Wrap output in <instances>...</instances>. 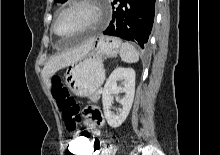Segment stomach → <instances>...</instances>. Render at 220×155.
<instances>
[{"label": "stomach", "mask_w": 220, "mask_h": 155, "mask_svg": "<svg viewBox=\"0 0 220 155\" xmlns=\"http://www.w3.org/2000/svg\"><path fill=\"white\" fill-rule=\"evenodd\" d=\"M120 46L121 41L112 37H101L93 42L88 54L67 68L65 81L70 92L88 98L96 94L105 78L102 58L117 56Z\"/></svg>", "instance_id": "1"}]
</instances>
